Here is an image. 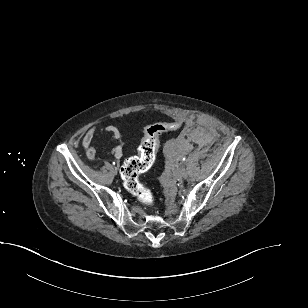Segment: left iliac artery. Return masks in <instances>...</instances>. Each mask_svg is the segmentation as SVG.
I'll return each instance as SVG.
<instances>
[{
    "instance_id": "left-iliac-artery-1",
    "label": "left iliac artery",
    "mask_w": 308,
    "mask_h": 308,
    "mask_svg": "<svg viewBox=\"0 0 308 308\" xmlns=\"http://www.w3.org/2000/svg\"><path fill=\"white\" fill-rule=\"evenodd\" d=\"M182 160H183V161H185V160H186V158L184 157Z\"/></svg>"
}]
</instances>
